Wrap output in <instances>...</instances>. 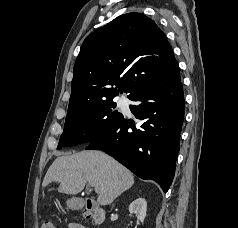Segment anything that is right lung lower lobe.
<instances>
[{
    "instance_id": "1",
    "label": "right lung lower lobe",
    "mask_w": 238,
    "mask_h": 228,
    "mask_svg": "<svg viewBox=\"0 0 238 228\" xmlns=\"http://www.w3.org/2000/svg\"><path fill=\"white\" fill-rule=\"evenodd\" d=\"M135 117L143 120L136 129L123 117L116 125L89 142L113 156L142 179L156 181L167 192L175 173L184 119V94L180 76L173 81L129 98Z\"/></svg>"
}]
</instances>
